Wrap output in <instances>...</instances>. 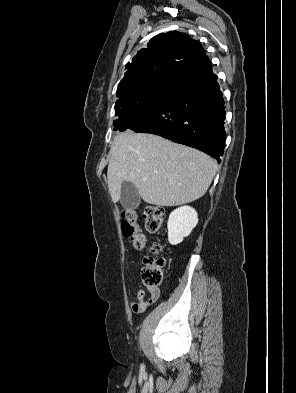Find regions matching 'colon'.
<instances>
[{
    "instance_id": "5ec220e1",
    "label": "colon",
    "mask_w": 296,
    "mask_h": 393,
    "mask_svg": "<svg viewBox=\"0 0 296 393\" xmlns=\"http://www.w3.org/2000/svg\"><path fill=\"white\" fill-rule=\"evenodd\" d=\"M143 217L147 230L155 233L161 229L165 210L159 205H148L143 210ZM137 220L135 210H125L122 214L121 230L122 235L130 239L135 249L142 250L145 248V238ZM157 251V246L150 248V254L145 257L144 266L141 269V280L152 295L158 291L164 277L163 260L154 256Z\"/></svg>"
}]
</instances>
